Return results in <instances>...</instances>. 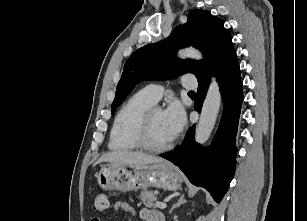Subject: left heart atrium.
I'll return each instance as SVG.
<instances>
[{"label": "left heart atrium", "instance_id": "1", "mask_svg": "<svg viewBox=\"0 0 307 221\" xmlns=\"http://www.w3.org/2000/svg\"><path fill=\"white\" fill-rule=\"evenodd\" d=\"M164 117L172 138H175L184 128L186 115L183 107L178 102H173L165 110Z\"/></svg>", "mask_w": 307, "mask_h": 221}]
</instances>
